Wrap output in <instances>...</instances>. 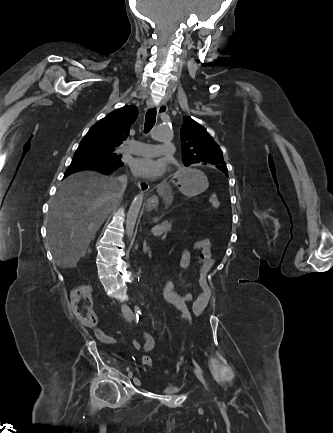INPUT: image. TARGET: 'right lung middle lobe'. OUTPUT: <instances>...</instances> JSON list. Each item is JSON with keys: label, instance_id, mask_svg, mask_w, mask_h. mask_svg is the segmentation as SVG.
Here are the masks:
<instances>
[{"label": "right lung middle lobe", "instance_id": "1", "mask_svg": "<svg viewBox=\"0 0 333 433\" xmlns=\"http://www.w3.org/2000/svg\"><path fill=\"white\" fill-rule=\"evenodd\" d=\"M121 155L116 153V149L101 148L89 143L87 141H81L73 159H88L96 160L111 164H117L121 162Z\"/></svg>", "mask_w": 333, "mask_h": 433}]
</instances>
